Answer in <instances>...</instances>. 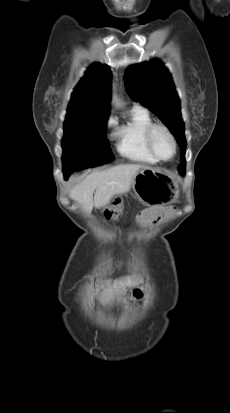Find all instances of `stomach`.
<instances>
[{"instance_id": "1", "label": "stomach", "mask_w": 230, "mask_h": 413, "mask_svg": "<svg viewBox=\"0 0 230 413\" xmlns=\"http://www.w3.org/2000/svg\"><path fill=\"white\" fill-rule=\"evenodd\" d=\"M132 188L137 200L146 206L168 205L179 195L178 184L170 173L149 166H143L136 173Z\"/></svg>"}]
</instances>
